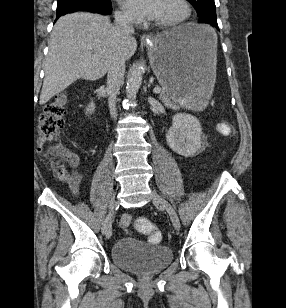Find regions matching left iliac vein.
Segmentation results:
<instances>
[{
    "label": "left iliac vein",
    "mask_w": 286,
    "mask_h": 308,
    "mask_svg": "<svg viewBox=\"0 0 286 308\" xmlns=\"http://www.w3.org/2000/svg\"><path fill=\"white\" fill-rule=\"evenodd\" d=\"M151 198L153 202L159 203L168 212L174 228L176 230H179L180 221L172 205L154 190L151 191Z\"/></svg>",
    "instance_id": "4c4485c4"
}]
</instances>
